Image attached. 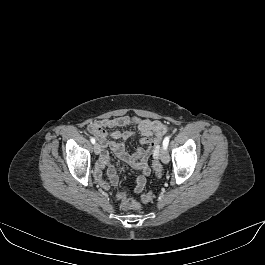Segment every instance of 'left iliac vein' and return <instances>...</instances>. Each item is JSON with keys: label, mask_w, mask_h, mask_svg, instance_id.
I'll return each instance as SVG.
<instances>
[{"label": "left iliac vein", "mask_w": 265, "mask_h": 265, "mask_svg": "<svg viewBox=\"0 0 265 265\" xmlns=\"http://www.w3.org/2000/svg\"><path fill=\"white\" fill-rule=\"evenodd\" d=\"M160 159L165 164L169 162V155H168V152L165 148H162L160 150Z\"/></svg>", "instance_id": "left-iliac-vein-1"}]
</instances>
